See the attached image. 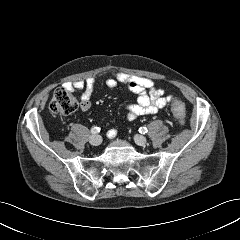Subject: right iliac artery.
Instances as JSON below:
<instances>
[{
	"instance_id": "1",
	"label": "right iliac artery",
	"mask_w": 240,
	"mask_h": 240,
	"mask_svg": "<svg viewBox=\"0 0 240 240\" xmlns=\"http://www.w3.org/2000/svg\"><path fill=\"white\" fill-rule=\"evenodd\" d=\"M98 132H100V128H99V127H92V128H91V133H92V134H96V133H98Z\"/></svg>"
}]
</instances>
